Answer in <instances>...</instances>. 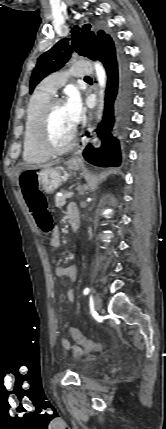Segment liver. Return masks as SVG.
<instances>
[{
    "mask_svg": "<svg viewBox=\"0 0 166 429\" xmlns=\"http://www.w3.org/2000/svg\"><path fill=\"white\" fill-rule=\"evenodd\" d=\"M59 163H60V160H56V161L49 162V163H47V164L39 165V166H28V165H24V166H22V167L18 170V173L22 172L23 170H28V169H39V168L46 169V168H51L52 166L57 165V164H59Z\"/></svg>",
    "mask_w": 166,
    "mask_h": 429,
    "instance_id": "6515ba94",
    "label": "liver"
}]
</instances>
